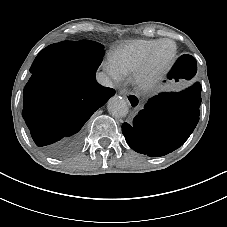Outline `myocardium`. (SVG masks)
Wrapping results in <instances>:
<instances>
[{
    "instance_id": "1",
    "label": "myocardium",
    "mask_w": 227,
    "mask_h": 227,
    "mask_svg": "<svg viewBox=\"0 0 227 227\" xmlns=\"http://www.w3.org/2000/svg\"><path fill=\"white\" fill-rule=\"evenodd\" d=\"M170 43L174 47L171 56L162 64H159L158 55L161 47ZM178 56L177 44L170 39L161 40L148 55L146 60L133 72L136 87L141 91H150L159 87L170 73Z\"/></svg>"
}]
</instances>
